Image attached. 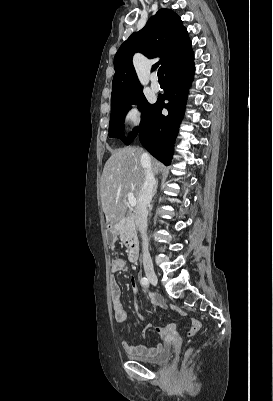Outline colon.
<instances>
[{"label": "colon", "mask_w": 273, "mask_h": 401, "mask_svg": "<svg viewBox=\"0 0 273 401\" xmlns=\"http://www.w3.org/2000/svg\"><path fill=\"white\" fill-rule=\"evenodd\" d=\"M197 342H192V346L190 349H183L182 350V357L183 358H196L197 357ZM182 372H188V369H182ZM183 378H189V375H183Z\"/></svg>", "instance_id": "5ec220e1"}]
</instances>
